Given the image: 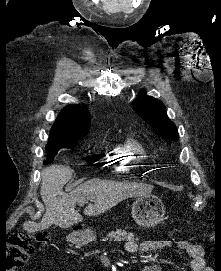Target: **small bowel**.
Here are the masks:
<instances>
[{
    "label": "small bowel",
    "instance_id": "c3829d8e",
    "mask_svg": "<svg viewBox=\"0 0 221 271\" xmlns=\"http://www.w3.org/2000/svg\"><path fill=\"white\" fill-rule=\"evenodd\" d=\"M125 249L129 253H152L163 249H175L188 255L191 271H210L203 259V248L187 240H146L138 243L129 239L125 244ZM142 271H162V268L159 265L151 264L144 266Z\"/></svg>",
    "mask_w": 221,
    "mask_h": 271
}]
</instances>
